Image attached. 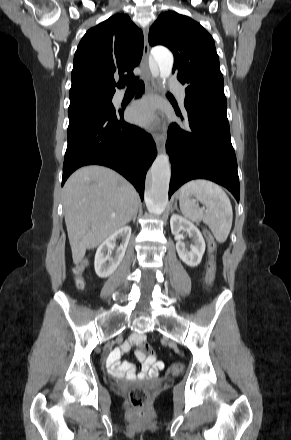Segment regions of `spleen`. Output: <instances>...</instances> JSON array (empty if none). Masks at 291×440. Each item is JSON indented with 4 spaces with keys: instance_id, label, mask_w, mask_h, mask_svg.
<instances>
[{
    "instance_id": "3e777b00",
    "label": "spleen",
    "mask_w": 291,
    "mask_h": 440,
    "mask_svg": "<svg viewBox=\"0 0 291 440\" xmlns=\"http://www.w3.org/2000/svg\"><path fill=\"white\" fill-rule=\"evenodd\" d=\"M194 194L203 205L204 212L189 197ZM182 214L194 222L203 221L219 243H224L231 230L233 211L229 197L223 189L205 179L187 182L180 190L179 198Z\"/></svg>"
}]
</instances>
